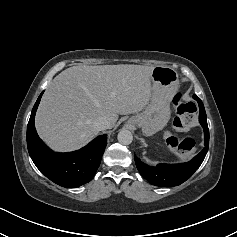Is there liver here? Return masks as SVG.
Returning <instances> with one entry per match:
<instances>
[{
    "label": "liver",
    "instance_id": "obj_1",
    "mask_svg": "<svg viewBox=\"0 0 237 237\" xmlns=\"http://www.w3.org/2000/svg\"><path fill=\"white\" fill-rule=\"evenodd\" d=\"M153 66H73L57 75L44 93L35 118L39 136L56 151L76 150L98 131L106 117L112 128L118 114L138 113L151 100Z\"/></svg>",
    "mask_w": 237,
    "mask_h": 237
}]
</instances>
